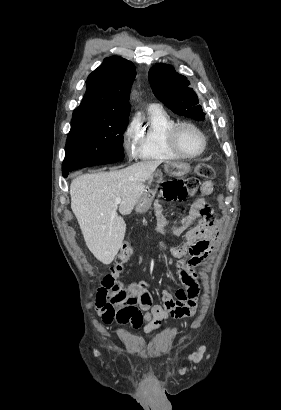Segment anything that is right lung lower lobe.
I'll return each mask as SVG.
<instances>
[{"mask_svg":"<svg viewBox=\"0 0 281 410\" xmlns=\"http://www.w3.org/2000/svg\"><path fill=\"white\" fill-rule=\"evenodd\" d=\"M68 173H69V172H63V176H64V177H67Z\"/></svg>","mask_w":281,"mask_h":410,"instance_id":"1","label":"right lung lower lobe"}]
</instances>
